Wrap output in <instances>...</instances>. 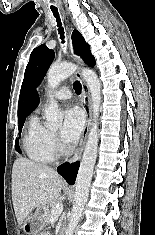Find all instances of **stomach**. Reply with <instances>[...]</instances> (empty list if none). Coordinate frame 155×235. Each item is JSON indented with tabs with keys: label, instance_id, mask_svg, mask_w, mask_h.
<instances>
[{
	"label": "stomach",
	"instance_id": "1",
	"mask_svg": "<svg viewBox=\"0 0 155 235\" xmlns=\"http://www.w3.org/2000/svg\"><path fill=\"white\" fill-rule=\"evenodd\" d=\"M45 226V217L40 210L35 211L26 219L23 230L27 235H37Z\"/></svg>",
	"mask_w": 155,
	"mask_h": 235
}]
</instances>
